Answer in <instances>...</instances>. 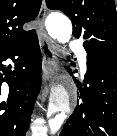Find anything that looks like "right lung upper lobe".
<instances>
[{"instance_id":"obj_1","label":"right lung upper lobe","mask_w":117,"mask_h":136,"mask_svg":"<svg viewBox=\"0 0 117 136\" xmlns=\"http://www.w3.org/2000/svg\"><path fill=\"white\" fill-rule=\"evenodd\" d=\"M42 0H0V51L29 37L35 30L24 31L23 25L35 19Z\"/></svg>"}]
</instances>
